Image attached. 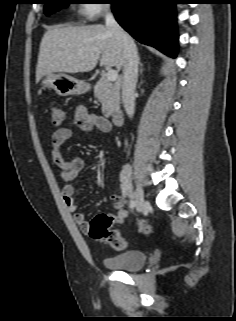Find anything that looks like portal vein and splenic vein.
<instances>
[{
    "label": "portal vein and splenic vein",
    "instance_id": "18ae733b",
    "mask_svg": "<svg viewBox=\"0 0 236 321\" xmlns=\"http://www.w3.org/2000/svg\"><path fill=\"white\" fill-rule=\"evenodd\" d=\"M106 78L108 79V81L114 82L118 78V72L116 70L110 69L106 73Z\"/></svg>",
    "mask_w": 236,
    "mask_h": 321
}]
</instances>
